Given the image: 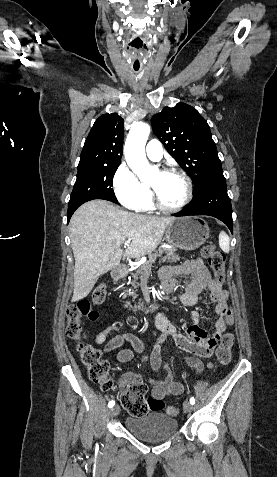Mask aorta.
Listing matches in <instances>:
<instances>
[{"mask_svg": "<svg viewBox=\"0 0 277 477\" xmlns=\"http://www.w3.org/2000/svg\"><path fill=\"white\" fill-rule=\"evenodd\" d=\"M150 134V126L143 122L132 124L127 136L124 153L125 159L131 170L143 182L149 181L158 172L152 167L145 155V145Z\"/></svg>", "mask_w": 277, "mask_h": 477, "instance_id": "aorta-1", "label": "aorta"}]
</instances>
